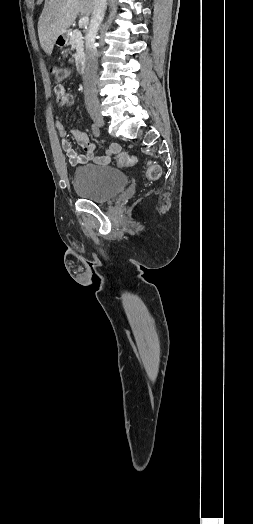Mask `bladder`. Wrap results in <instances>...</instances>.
Here are the masks:
<instances>
[{
  "instance_id": "bladder-1",
  "label": "bladder",
  "mask_w": 253,
  "mask_h": 524,
  "mask_svg": "<svg viewBox=\"0 0 253 524\" xmlns=\"http://www.w3.org/2000/svg\"><path fill=\"white\" fill-rule=\"evenodd\" d=\"M72 184L80 199L103 204L125 189L128 179L113 167L87 165L74 171Z\"/></svg>"
}]
</instances>
